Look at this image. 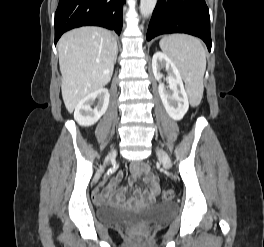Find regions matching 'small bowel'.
<instances>
[{
	"label": "small bowel",
	"instance_id": "1",
	"mask_svg": "<svg viewBox=\"0 0 264 247\" xmlns=\"http://www.w3.org/2000/svg\"><path fill=\"white\" fill-rule=\"evenodd\" d=\"M131 181L135 182L142 179L147 185V190L142 195L138 190L135 191L134 201H152L159 191L155 175L150 171L148 165L144 162H134L131 164ZM123 174L119 173L111 183L104 189H97L94 198L97 202L111 201L114 203H123L125 201V191L116 192V187L122 180Z\"/></svg>",
	"mask_w": 264,
	"mask_h": 247
}]
</instances>
